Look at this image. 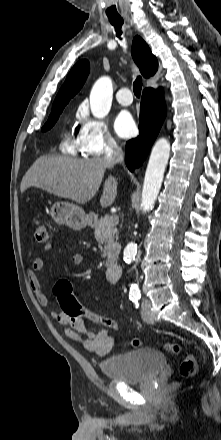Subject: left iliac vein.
<instances>
[{
	"label": "left iliac vein",
	"instance_id": "1",
	"mask_svg": "<svg viewBox=\"0 0 221 440\" xmlns=\"http://www.w3.org/2000/svg\"><path fill=\"white\" fill-rule=\"evenodd\" d=\"M150 307H151L150 301L148 299L143 300L141 314L144 321L148 323H153L154 319L150 313Z\"/></svg>",
	"mask_w": 221,
	"mask_h": 440
}]
</instances>
